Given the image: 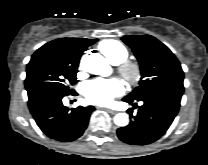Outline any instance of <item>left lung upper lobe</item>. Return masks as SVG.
<instances>
[{
	"label": "left lung upper lobe",
	"mask_w": 208,
	"mask_h": 165,
	"mask_svg": "<svg viewBox=\"0 0 208 165\" xmlns=\"http://www.w3.org/2000/svg\"><path fill=\"white\" fill-rule=\"evenodd\" d=\"M122 40L132 48L141 71L139 86L125 99L137 100L162 87H183V70L167 46L150 35L124 36Z\"/></svg>",
	"instance_id": "obj_1"
}]
</instances>
